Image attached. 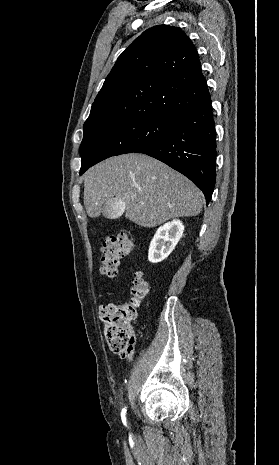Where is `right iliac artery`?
Instances as JSON below:
<instances>
[{
    "label": "right iliac artery",
    "mask_w": 279,
    "mask_h": 465,
    "mask_svg": "<svg viewBox=\"0 0 279 465\" xmlns=\"http://www.w3.org/2000/svg\"><path fill=\"white\" fill-rule=\"evenodd\" d=\"M125 413H126V408H124V409L122 410V417H123V418L125 417Z\"/></svg>",
    "instance_id": "82829eb1"
}]
</instances>
